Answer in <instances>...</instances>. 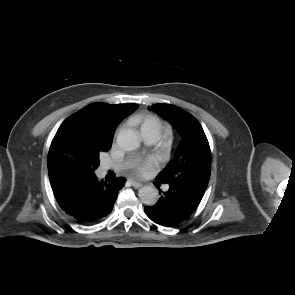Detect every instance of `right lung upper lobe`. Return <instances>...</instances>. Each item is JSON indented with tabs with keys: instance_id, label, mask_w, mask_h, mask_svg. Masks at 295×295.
I'll return each instance as SVG.
<instances>
[{
	"instance_id": "right-lung-upper-lobe-1",
	"label": "right lung upper lobe",
	"mask_w": 295,
	"mask_h": 295,
	"mask_svg": "<svg viewBox=\"0 0 295 295\" xmlns=\"http://www.w3.org/2000/svg\"><path fill=\"white\" fill-rule=\"evenodd\" d=\"M136 104L92 103L69 116L59 127L48 154V172L76 171L88 160L94 146L112 145L119 122L136 109Z\"/></svg>"
}]
</instances>
